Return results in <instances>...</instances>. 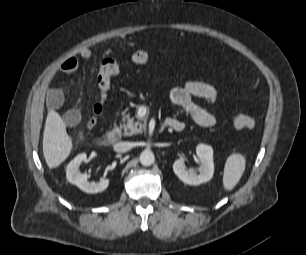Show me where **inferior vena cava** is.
I'll use <instances>...</instances> for the list:
<instances>
[{
    "label": "inferior vena cava",
    "instance_id": "inferior-vena-cava-1",
    "mask_svg": "<svg viewBox=\"0 0 306 255\" xmlns=\"http://www.w3.org/2000/svg\"><path fill=\"white\" fill-rule=\"evenodd\" d=\"M132 148V144L130 142H119L113 146L114 151L119 153H124L129 151Z\"/></svg>",
    "mask_w": 306,
    "mask_h": 255
}]
</instances>
